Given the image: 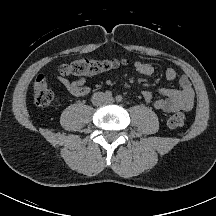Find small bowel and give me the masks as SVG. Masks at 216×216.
Wrapping results in <instances>:
<instances>
[{
    "mask_svg": "<svg viewBox=\"0 0 216 216\" xmlns=\"http://www.w3.org/2000/svg\"><path fill=\"white\" fill-rule=\"evenodd\" d=\"M135 70L144 75L151 76L154 73V67L144 61H136L134 63ZM165 77L168 81H173L177 77V72L173 68H168L165 71ZM60 84L72 95L84 97L89 93V87L85 85L84 79L70 81L67 78L59 75L57 77ZM179 89L162 88L159 91L161 98L155 99L151 91H142V97L145 101L159 111L165 113H173L176 111H189L194 106L195 95L189 78L185 75L179 78Z\"/></svg>",
    "mask_w": 216,
    "mask_h": 216,
    "instance_id": "c3829d8e",
    "label": "small bowel"
}]
</instances>
